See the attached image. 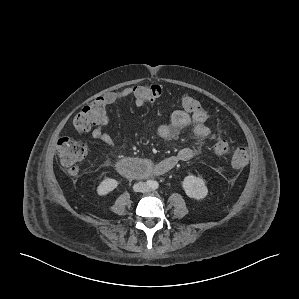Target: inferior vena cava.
<instances>
[{
  "instance_id": "1",
  "label": "inferior vena cava",
  "mask_w": 299,
  "mask_h": 299,
  "mask_svg": "<svg viewBox=\"0 0 299 299\" xmlns=\"http://www.w3.org/2000/svg\"><path fill=\"white\" fill-rule=\"evenodd\" d=\"M133 189L135 192H142V193H145L149 190L148 186L143 182L134 184Z\"/></svg>"
}]
</instances>
